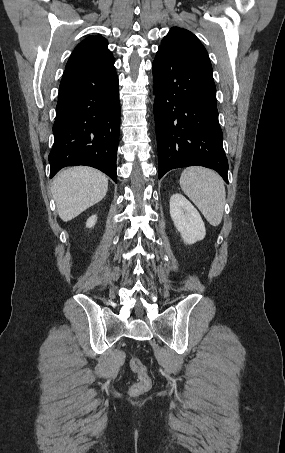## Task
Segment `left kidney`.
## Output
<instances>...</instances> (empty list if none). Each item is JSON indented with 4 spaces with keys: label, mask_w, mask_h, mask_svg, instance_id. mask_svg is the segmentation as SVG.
<instances>
[{
    "label": "left kidney",
    "mask_w": 285,
    "mask_h": 453,
    "mask_svg": "<svg viewBox=\"0 0 285 453\" xmlns=\"http://www.w3.org/2000/svg\"><path fill=\"white\" fill-rule=\"evenodd\" d=\"M170 215L184 243L191 245L204 239V222L197 209L182 194L171 196Z\"/></svg>",
    "instance_id": "left-kidney-1"
}]
</instances>
